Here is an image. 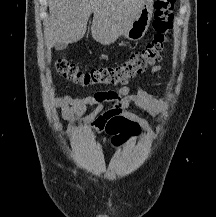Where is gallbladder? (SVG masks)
Listing matches in <instances>:
<instances>
[{
	"label": "gallbladder",
	"instance_id": "gallbladder-1",
	"mask_svg": "<svg viewBox=\"0 0 216 217\" xmlns=\"http://www.w3.org/2000/svg\"><path fill=\"white\" fill-rule=\"evenodd\" d=\"M67 46H68V44H66V43H56L55 44V49L56 50H62L64 48H66Z\"/></svg>",
	"mask_w": 216,
	"mask_h": 217
}]
</instances>
